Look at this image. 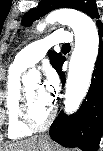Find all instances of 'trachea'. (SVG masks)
<instances>
[{
	"instance_id": "trachea-1",
	"label": "trachea",
	"mask_w": 103,
	"mask_h": 151,
	"mask_svg": "<svg viewBox=\"0 0 103 151\" xmlns=\"http://www.w3.org/2000/svg\"><path fill=\"white\" fill-rule=\"evenodd\" d=\"M68 47H70V45H69V44H65V45H63V48H68Z\"/></svg>"
}]
</instances>
